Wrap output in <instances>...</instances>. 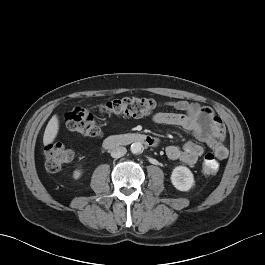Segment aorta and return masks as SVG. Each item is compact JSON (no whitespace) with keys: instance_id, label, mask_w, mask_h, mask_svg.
<instances>
[{"instance_id":"1","label":"aorta","mask_w":265,"mask_h":265,"mask_svg":"<svg viewBox=\"0 0 265 265\" xmlns=\"http://www.w3.org/2000/svg\"><path fill=\"white\" fill-rule=\"evenodd\" d=\"M130 150L133 154H140L143 152V144L141 142H134L131 144Z\"/></svg>"}]
</instances>
